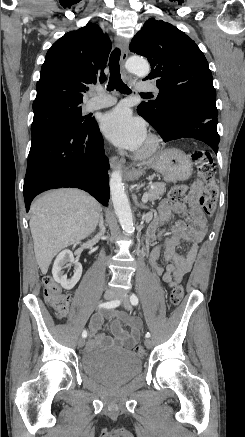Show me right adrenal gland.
<instances>
[{
    "label": "right adrenal gland",
    "instance_id": "right-adrenal-gland-1",
    "mask_svg": "<svg viewBox=\"0 0 245 437\" xmlns=\"http://www.w3.org/2000/svg\"><path fill=\"white\" fill-rule=\"evenodd\" d=\"M100 221L101 222L103 221V215L102 214L100 215Z\"/></svg>",
    "mask_w": 245,
    "mask_h": 437
}]
</instances>
